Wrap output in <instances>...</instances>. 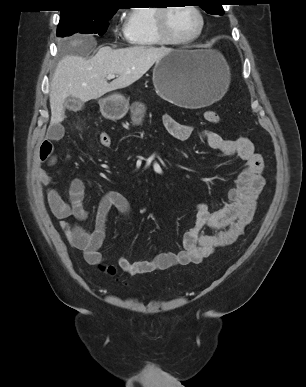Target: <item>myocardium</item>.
<instances>
[{
  "instance_id": "myocardium-1",
  "label": "myocardium",
  "mask_w": 306,
  "mask_h": 387,
  "mask_svg": "<svg viewBox=\"0 0 306 387\" xmlns=\"http://www.w3.org/2000/svg\"><path fill=\"white\" fill-rule=\"evenodd\" d=\"M189 8H191L197 15L199 19V26L197 31L190 37L185 39H177L174 38L168 29V14L172 7L170 6H163L156 8L155 12V30L158 38L163 44L168 45H188L193 42H195L203 33L205 28V17L201 11V9L194 4L187 5Z\"/></svg>"
}]
</instances>
